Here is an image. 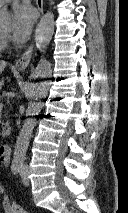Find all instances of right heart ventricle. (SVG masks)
Here are the masks:
<instances>
[{
    "instance_id": "right-heart-ventricle-1",
    "label": "right heart ventricle",
    "mask_w": 128,
    "mask_h": 213,
    "mask_svg": "<svg viewBox=\"0 0 128 213\" xmlns=\"http://www.w3.org/2000/svg\"><path fill=\"white\" fill-rule=\"evenodd\" d=\"M2 35H1V33H0V50H1V48H2Z\"/></svg>"
}]
</instances>
